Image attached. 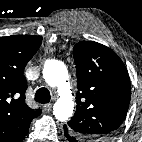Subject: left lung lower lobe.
I'll use <instances>...</instances> for the list:
<instances>
[{
	"instance_id": "1",
	"label": "left lung lower lobe",
	"mask_w": 142,
	"mask_h": 142,
	"mask_svg": "<svg viewBox=\"0 0 142 142\" xmlns=\"http://www.w3.org/2000/svg\"><path fill=\"white\" fill-rule=\"evenodd\" d=\"M64 135L69 142H78V140L70 133V131L65 126Z\"/></svg>"
}]
</instances>
